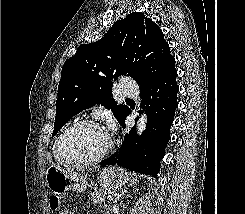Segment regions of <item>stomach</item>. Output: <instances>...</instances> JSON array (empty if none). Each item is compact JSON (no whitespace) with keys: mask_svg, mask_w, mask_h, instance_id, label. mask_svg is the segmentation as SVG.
Listing matches in <instances>:
<instances>
[{"mask_svg":"<svg viewBox=\"0 0 245 214\" xmlns=\"http://www.w3.org/2000/svg\"><path fill=\"white\" fill-rule=\"evenodd\" d=\"M129 181L127 173L117 167L104 169L98 177L100 186L105 189H119ZM46 185L53 194L60 195L71 189L84 191L88 183L83 175L52 165L46 171Z\"/></svg>","mask_w":245,"mask_h":214,"instance_id":"0dacf381","label":"stomach"}]
</instances>
